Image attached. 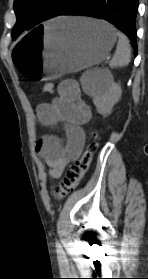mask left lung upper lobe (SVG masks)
Masks as SVG:
<instances>
[{"instance_id": "obj_1", "label": "left lung upper lobe", "mask_w": 148, "mask_h": 279, "mask_svg": "<svg viewBox=\"0 0 148 279\" xmlns=\"http://www.w3.org/2000/svg\"><path fill=\"white\" fill-rule=\"evenodd\" d=\"M73 0H15L14 11L17 22L12 29V38L24 30L57 16L66 9Z\"/></svg>"}]
</instances>
